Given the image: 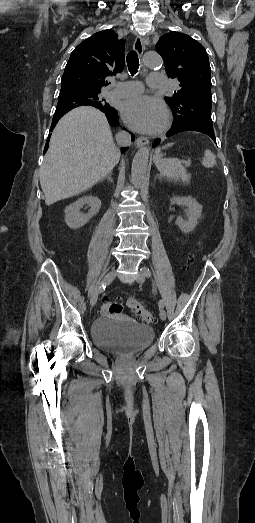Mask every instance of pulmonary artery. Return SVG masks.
<instances>
[{"label": "pulmonary artery", "instance_id": "obj_1", "mask_svg": "<svg viewBox=\"0 0 255 523\" xmlns=\"http://www.w3.org/2000/svg\"><path fill=\"white\" fill-rule=\"evenodd\" d=\"M164 80V75L159 71H155L148 77L147 82L150 85L151 90L163 91L166 88V81ZM142 90L143 85L138 81L118 82L116 83V87L110 91V94L121 98L135 95L136 97H139Z\"/></svg>", "mask_w": 255, "mask_h": 523}]
</instances>
